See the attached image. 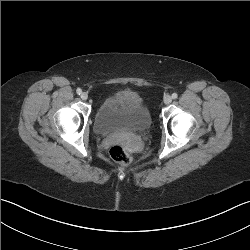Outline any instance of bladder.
I'll list each match as a JSON object with an SVG mask.
<instances>
[{
	"instance_id": "obj_1",
	"label": "bladder",
	"mask_w": 250,
	"mask_h": 250,
	"mask_svg": "<svg viewBox=\"0 0 250 250\" xmlns=\"http://www.w3.org/2000/svg\"><path fill=\"white\" fill-rule=\"evenodd\" d=\"M152 116L142 100L131 92L105 100L94 116V131L102 136L143 133L152 127Z\"/></svg>"
}]
</instances>
